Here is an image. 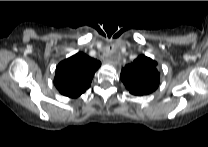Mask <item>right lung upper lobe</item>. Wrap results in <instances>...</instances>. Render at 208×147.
Returning <instances> with one entry per match:
<instances>
[{"mask_svg": "<svg viewBox=\"0 0 208 147\" xmlns=\"http://www.w3.org/2000/svg\"><path fill=\"white\" fill-rule=\"evenodd\" d=\"M100 66L98 60L79 52L58 64L54 85L64 96L76 98L90 86Z\"/></svg>", "mask_w": 208, "mask_h": 147, "instance_id": "cb5924a9", "label": "right lung upper lobe"}]
</instances>
